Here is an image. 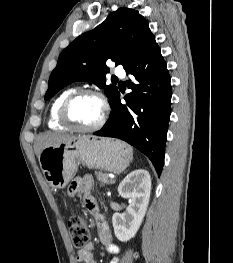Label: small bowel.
I'll return each mask as SVG.
<instances>
[{
  "label": "small bowel",
  "instance_id": "small-bowel-1",
  "mask_svg": "<svg viewBox=\"0 0 233 263\" xmlns=\"http://www.w3.org/2000/svg\"><path fill=\"white\" fill-rule=\"evenodd\" d=\"M93 179L90 176L75 179L69 187V195H81L84 200V205L87 211L95 216L97 222V236L108 253L114 254L115 257L110 263H119L118 255L121 253L119 246L113 243L112 235L105 219L98 213V207L91 194L93 187ZM93 244L88 242L87 245L78 252V263H97L96 257L93 254Z\"/></svg>",
  "mask_w": 233,
  "mask_h": 263
}]
</instances>
